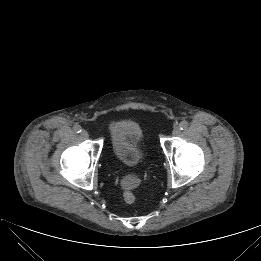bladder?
<instances>
[{"label":"bladder","instance_id":"obj_1","mask_svg":"<svg viewBox=\"0 0 261 261\" xmlns=\"http://www.w3.org/2000/svg\"><path fill=\"white\" fill-rule=\"evenodd\" d=\"M111 141L115 159L125 168H139L145 163L146 150L138 122L132 119L116 122L111 128Z\"/></svg>","mask_w":261,"mask_h":261}]
</instances>
